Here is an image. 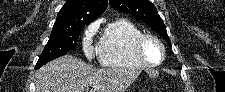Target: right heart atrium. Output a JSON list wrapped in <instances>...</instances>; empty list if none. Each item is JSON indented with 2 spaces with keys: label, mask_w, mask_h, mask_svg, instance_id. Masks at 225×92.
Segmentation results:
<instances>
[{
  "label": "right heart atrium",
  "mask_w": 225,
  "mask_h": 92,
  "mask_svg": "<svg viewBox=\"0 0 225 92\" xmlns=\"http://www.w3.org/2000/svg\"><path fill=\"white\" fill-rule=\"evenodd\" d=\"M97 32V24H89L83 31L82 35V49L87 58H92L95 53V47L93 45V39Z\"/></svg>",
  "instance_id": "1"
}]
</instances>
